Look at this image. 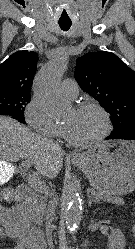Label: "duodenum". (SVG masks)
I'll return each instance as SVG.
<instances>
[{
    "label": "duodenum",
    "instance_id": "1",
    "mask_svg": "<svg viewBox=\"0 0 135 249\" xmlns=\"http://www.w3.org/2000/svg\"><path fill=\"white\" fill-rule=\"evenodd\" d=\"M3 198L9 202L16 203L13 207L16 208L18 215L23 222L24 234L28 245L33 249H39L44 243L43 234L38 231L34 236H29L26 229L33 235V226L26 218L23 208L29 204L32 199V192L28 187H16L6 190L3 193Z\"/></svg>",
    "mask_w": 135,
    "mask_h": 249
}]
</instances>
